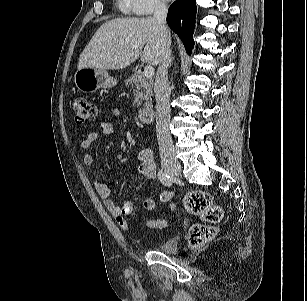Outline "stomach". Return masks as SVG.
<instances>
[{
    "mask_svg": "<svg viewBox=\"0 0 307 301\" xmlns=\"http://www.w3.org/2000/svg\"><path fill=\"white\" fill-rule=\"evenodd\" d=\"M75 86L84 93H93L100 88H111L117 84V79L110 76L106 69L82 68L74 75Z\"/></svg>",
    "mask_w": 307,
    "mask_h": 301,
    "instance_id": "obj_1",
    "label": "stomach"
}]
</instances>
